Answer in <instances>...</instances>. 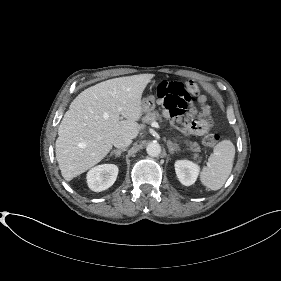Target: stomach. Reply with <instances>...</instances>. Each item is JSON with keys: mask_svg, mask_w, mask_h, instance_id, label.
Wrapping results in <instances>:
<instances>
[{"mask_svg": "<svg viewBox=\"0 0 281 281\" xmlns=\"http://www.w3.org/2000/svg\"><path fill=\"white\" fill-rule=\"evenodd\" d=\"M141 107L143 113H148L150 111H153L155 108V100L152 96H149L147 98H144L141 101Z\"/></svg>", "mask_w": 281, "mask_h": 281, "instance_id": "stomach-1", "label": "stomach"}]
</instances>
